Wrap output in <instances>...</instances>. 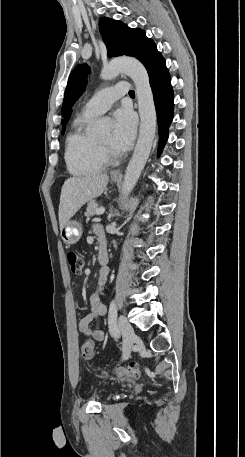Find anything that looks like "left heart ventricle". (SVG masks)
Segmentation results:
<instances>
[{"label": "left heart ventricle", "instance_id": "1", "mask_svg": "<svg viewBox=\"0 0 245 457\" xmlns=\"http://www.w3.org/2000/svg\"><path fill=\"white\" fill-rule=\"evenodd\" d=\"M96 138L98 139L99 143L105 148L107 149L108 151L112 152V153H117L119 152L118 149H116L113 145H112V135H111V131L110 132H106V133H103L101 135H97Z\"/></svg>", "mask_w": 245, "mask_h": 457}]
</instances>
